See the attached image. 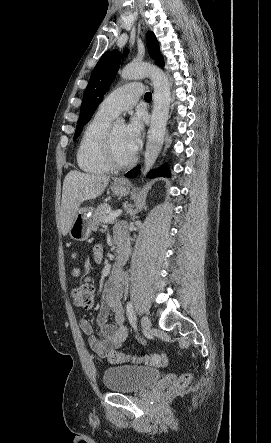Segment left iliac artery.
<instances>
[{
  "label": "left iliac artery",
  "instance_id": "left-iliac-artery-1",
  "mask_svg": "<svg viewBox=\"0 0 271 443\" xmlns=\"http://www.w3.org/2000/svg\"><path fill=\"white\" fill-rule=\"evenodd\" d=\"M126 313H127V317H128L130 324L132 325L134 330L137 331L136 316H135V312H134L133 303L131 301H129L126 305ZM138 339L141 341L142 344H144V341L140 337H138Z\"/></svg>",
  "mask_w": 271,
  "mask_h": 443
}]
</instances>
